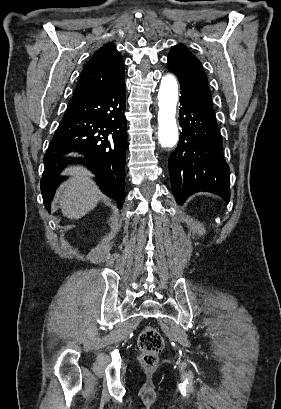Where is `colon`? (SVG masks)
Returning <instances> with one entry per match:
<instances>
[{
    "label": "colon",
    "instance_id": "colon-1",
    "mask_svg": "<svg viewBox=\"0 0 281 409\" xmlns=\"http://www.w3.org/2000/svg\"><path fill=\"white\" fill-rule=\"evenodd\" d=\"M137 345L141 351L140 361L146 368H153L158 362V353L165 345L163 336L152 326H146L140 332Z\"/></svg>",
    "mask_w": 281,
    "mask_h": 409
}]
</instances>
